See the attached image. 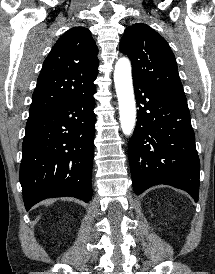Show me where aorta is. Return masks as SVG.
<instances>
[{
  "label": "aorta",
  "mask_w": 215,
  "mask_h": 274,
  "mask_svg": "<svg viewBox=\"0 0 215 274\" xmlns=\"http://www.w3.org/2000/svg\"><path fill=\"white\" fill-rule=\"evenodd\" d=\"M114 82L119 103L121 128L125 135H130L135 126L136 108L131 64L127 58H121L116 62Z\"/></svg>",
  "instance_id": "1"
}]
</instances>
